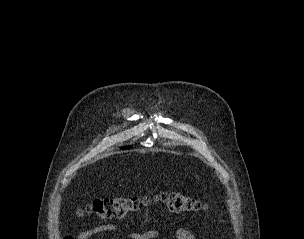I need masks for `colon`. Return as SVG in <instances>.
<instances>
[{"mask_svg": "<svg viewBox=\"0 0 304 239\" xmlns=\"http://www.w3.org/2000/svg\"><path fill=\"white\" fill-rule=\"evenodd\" d=\"M156 199L175 213H189L205 208L197 199L181 193L164 192L157 195ZM150 201L149 196L107 197L95 200L82 209L80 214L94 215L100 219L123 218L142 210Z\"/></svg>", "mask_w": 304, "mask_h": 239, "instance_id": "obj_1", "label": "colon"}]
</instances>
